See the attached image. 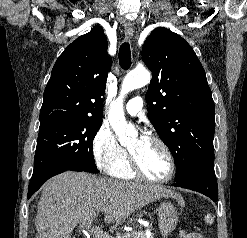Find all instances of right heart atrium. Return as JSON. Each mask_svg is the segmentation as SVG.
<instances>
[{
  "label": "right heart atrium",
  "instance_id": "right-heart-atrium-1",
  "mask_svg": "<svg viewBox=\"0 0 247 238\" xmlns=\"http://www.w3.org/2000/svg\"><path fill=\"white\" fill-rule=\"evenodd\" d=\"M92 153L96 166L108 173L128 159L126 150L119 145L107 124H101L97 129L92 141Z\"/></svg>",
  "mask_w": 247,
  "mask_h": 238
}]
</instances>
